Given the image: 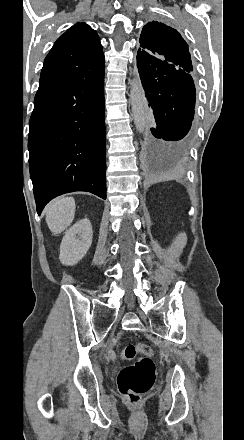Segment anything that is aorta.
Segmentation results:
<instances>
[{
  "label": "aorta",
  "instance_id": "aorta-1",
  "mask_svg": "<svg viewBox=\"0 0 244 440\" xmlns=\"http://www.w3.org/2000/svg\"><path fill=\"white\" fill-rule=\"evenodd\" d=\"M130 100L131 110L134 118V123L139 132H144L145 128V105L146 100L143 89L138 78H134L131 83Z\"/></svg>",
  "mask_w": 244,
  "mask_h": 440
}]
</instances>
